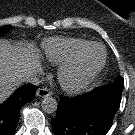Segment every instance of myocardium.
Returning a JSON list of instances; mask_svg holds the SVG:
<instances>
[{
    "label": "myocardium",
    "instance_id": "obj_1",
    "mask_svg": "<svg viewBox=\"0 0 135 135\" xmlns=\"http://www.w3.org/2000/svg\"><path fill=\"white\" fill-rule=\"evenodd\" d=\"M98 46L103 50L101 62L92 69H84V61L88 51ZM107 58L105 47L97 42H92L84 47L76 57L63 63L57 73V78L62 88L69 93H77L87 87L101 72Z\"/></svg>",
    "mask_w": 135,
    "mask_h": 135
}]
</instances>
